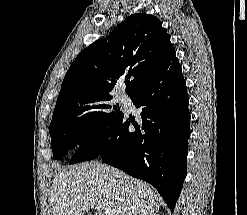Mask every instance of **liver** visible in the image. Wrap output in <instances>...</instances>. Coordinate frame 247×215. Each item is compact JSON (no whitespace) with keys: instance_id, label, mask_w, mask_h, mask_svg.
I'll list each match as a JSON object with an SVG mask.
<instances>
[{"instance_id":"1","label":"liver","mask_w":247,"mask_h":215,"mask_svg":"<svg viewBox=\"0 0 247 215\" xmlns=\"http://www.w3.org/2000/svg\"><path fill=\"white\" fill-rule=\"evenodd\" d=\"M160 201L146 183L97 161L60 170L50 197L52 215H83L94 206L95 215H156Z\"/></svg>"}]
</instances>
